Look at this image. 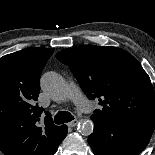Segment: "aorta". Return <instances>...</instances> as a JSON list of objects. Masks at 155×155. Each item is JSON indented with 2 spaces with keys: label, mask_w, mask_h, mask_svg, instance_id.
<instances>
[{
  "label": "aorta",
  "mask_w": 155,
  "mask_h": 155,
  "mask_svg": "<svg viewBox=\"0 0 155 155\" xmlns=\"http://www.w3.org/2000/svg\"><path fill=\"white\" fill-rule=\"evenodd\" d=\"M42 89L54 100L63 101L68 97L69 87L64 78L56 72H47L41 78ZM94 124L91 120H83L78 124L79 132L88 136L92 134Z\"/></svg>",
  "instance_id": "obj_1"
}]
</instances>
